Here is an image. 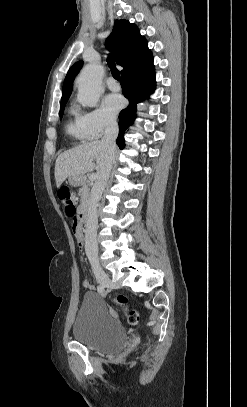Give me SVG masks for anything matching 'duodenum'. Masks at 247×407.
Wrapping results in <instances>:
<instances>
[{
    "label": "duodenum",
    "instance_id": "1",
    "mask_svg": "<svg viewBox=\"0 0 247 407\" xmlns=\"http://www.w3.org/2000/svg\"><path fill=\"white\" fill-rule=\"evenodd\" d=\"M88 219V209L86 206H82L78 212V221L82 222L83 225L87 222Z\"/></svg>",
    "mask_w": 247,
    "mask_h": 407
}]
</instances>
